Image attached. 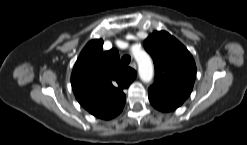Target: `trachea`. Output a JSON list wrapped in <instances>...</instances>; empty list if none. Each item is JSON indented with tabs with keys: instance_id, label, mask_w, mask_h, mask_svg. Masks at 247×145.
Returning a JSON list of instances; mask_svg holds the SVG:
<instances>
[{
	"instance_id": "1",
	"label": "trachea",
	"mask_w": 247,
	"mask_h": 145,
	"mask_svg": "<svg viewBox=\"0 0 247 145\" xmlns=\"http://www.w3.org/2000/svg\"><path fill=\"white\" fill-rule=\"evenodd\" d=\"M131 61V57L129 55H124L122 58H121V63L123 65H128Z\"/></svg>"
}]
</instances>
